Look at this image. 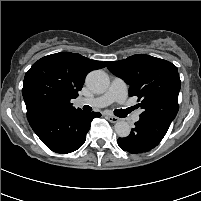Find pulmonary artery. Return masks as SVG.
I'll return each instance as SVG.
<instances>
[{"label":"pulmonary artery","mask_w":201,"mask_h":201,"mask_svg":"<svg viewBox=\"0 0 201 201\" xmlns=\"http://www.w3.org/2000/svg\"><path fill=\"white\" fill-rule=\"evenodd\" d=\"M127 97V85L126 83L120 78H114L108 88V90L101 96L96 97L92 100L87 101L88 104L94 107H106L113 102L122 103L125 101ZM82 103L85 101H81ZM140 119V113L136 112L132 116L133 122H138Z\"/></svg>","instance_id":"1"}]
</instances>
